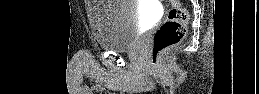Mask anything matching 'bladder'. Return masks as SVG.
I'll return each instance as SVG.
<instances>
[{
    "mask_svg": "<svg viewBox=\"0 0 259 94\" xmlns=\"http://www.w3.org/2000/svg\"><path fill=\"white\" fill-rule=\"evenodd\" d=\"M88 22L101 49L120 52L137 42L143 19L133 0H94L88 2Z\"/></svg>",
    "mask_w": 259,
    "mask_h": 94,
    "instance_id": "31cf9c89",
    "label": "bladder"
}]
</instances>
